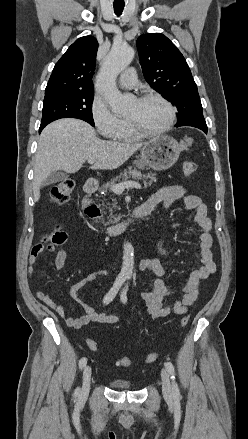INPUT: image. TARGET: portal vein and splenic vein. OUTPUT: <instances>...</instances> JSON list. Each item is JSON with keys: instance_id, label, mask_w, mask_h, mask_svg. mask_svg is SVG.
Wrapping results in <instances>:
<instances>
[{"instance_id": "18ae733b", "label": "portal vein and splenic vein", "mask_w": 248, "mask_h": 439, "mask_svg": "<svg viewBox=\"0 0 248 439\" xmlns=\"http://www.w3.org/2000/svg\"><path fill=\"white\" fill-rule=\"evenodd\" d=\"M88 163L90 164H94L95 160L94 159H89ZM127 188H136V189H141V185L135 181H125L119 184H114L111 187V190L116 193V194H121L125 189Z\"/></svg>"}]
</instances>
